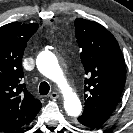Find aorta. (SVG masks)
I'll list each match as a JSON object with an SVG mask.
<instances>
[{"label":"aorta","mask_w":133,"mask_h":133,"mask_svg":"<svg viewBox=\"0 0 133 133\" xmlns=\"http://www.w3.org/2000/svg\"><path fill=\"white\" fill-rule=\"evenodd\" d=\"M41 74L55 82L64 98V108L69 116L77 117L82 112L80 99L68 84L56 56L51 52H42L36 60Z\"/></svg>","instance_id":"762f6f07"}]
</instances>
